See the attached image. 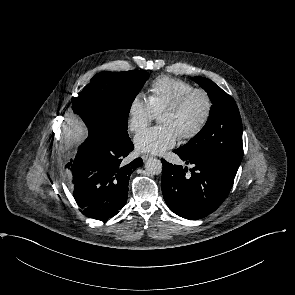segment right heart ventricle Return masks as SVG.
I'll list each match as a JSON object with an SVG mask.
<instances>
[{
	"label": "right heart ventricle",
	"instance_id": "1",
	"mask_svg": "<svg viewBox=\"0 0 295 295\" xmlns=\"http://www.w3.org/2000/svg\"><path fill=\"white\" fill-rule=\"evenodd\" d=\"M193 88V84L186 80L159 76L149 86L150 95L148 99L156 115H160L167 107L174 104Z\"/></svg>",
	"mask_w": 295,
	"mask_h": 295
}]
</instances>
